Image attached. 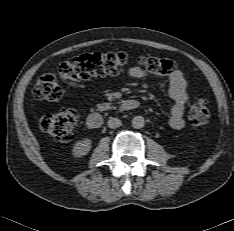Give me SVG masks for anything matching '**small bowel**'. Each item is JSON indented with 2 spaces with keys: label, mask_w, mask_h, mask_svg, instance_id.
Returning <instances> with one entry per match:
<instances>
[{
  "label": "small bowel",
  "mask_w": 234,
  "mask_h": 231,
  "mask_svg": "<svg viewBox=\"0 0 234 231\" xmlns=\"http://www.w3.org/2000/svg\"><path fill=\"white\" fill-rule=\"evenodd\" d=\"M128 75L132 78H141L146 76L147 72L136 66L129 69ZM169 82V96L173 101L169 123L174 130H180L185 124L183 115L189 98L187 84L180 70H176L170 76Z\"/></svg>",
  "instance_id": "small-bowel-1"
}]
</instances>
